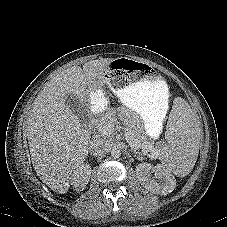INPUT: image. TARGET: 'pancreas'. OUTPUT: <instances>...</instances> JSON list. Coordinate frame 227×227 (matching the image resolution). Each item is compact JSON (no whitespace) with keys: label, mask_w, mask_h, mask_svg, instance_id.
<instances>
[{"label":"pancreas","mask_w":227,"mask_h":227,"mask_svg":"<svg viewBox=\"0 0 227 227\" xmlns=\"http://www.w3.org/2000/svg\"><path fill=\"white\" fill-rule=\"evenodd\" d=\"M121 114L122 119H124L127 125L126 137L128 142L131 145H135L137 148H141L143 151H149L153 149V144L147 141L146 137L142 134L143 131L141 123L139 121L136 123H130L128 119H126V116H124L126 112L123 111ZM116 123L117 117L115 112L113 110H107L97 125L100 135L105 138H111L114 134ZM104 129L106 132H104ZM153 152L156 153V150Z\"/></svg>","instance_id":"cf45deb5"}]
</instances>
